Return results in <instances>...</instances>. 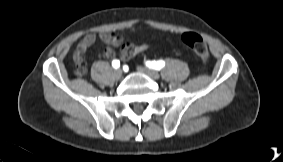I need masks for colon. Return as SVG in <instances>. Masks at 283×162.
Masks as SVG:
<instances>
[{"mask_svg":"<svg viewBox=\"0 0 283 162\" xmlns=\"http://www.w3.org/2000/svg\"><path fill=\"white\" fill-rule=\"evenodd\" d=\"M183 43L190 47L193 52L201 59L203 63H207L209 59V52L207 44L203 38L194 32H186L181 37ZM76 74L81 75L84 73V64L82 61H75Z\"/></svg>","mask_w":283,"mask_h":162,"instance_id":"1","label":"colon"}]
</instances>
